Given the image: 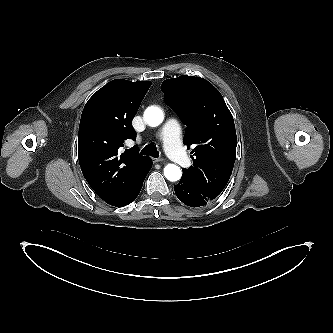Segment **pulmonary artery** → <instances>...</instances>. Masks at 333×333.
Listing matches in <instances>:
<instances>
[{
	"instance_id": "e3ab8cb5",
	"label": "pulmonary artery",
	"mask_w": 333,
	"mask_h": 333,
	"mask_svg": "<svg viewBox=\"0 0 333 333\" xmlns=\"http://www.w3.org/2000/svg\"><path fill=\"white\" fill-rule=\"evenodd\" d=\"M167 154L178 164L187 167L191 161L182 148L181 127L175 119H169L160 130Z\"/></svg>"
}]
</instances>
